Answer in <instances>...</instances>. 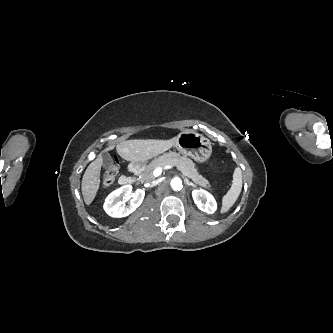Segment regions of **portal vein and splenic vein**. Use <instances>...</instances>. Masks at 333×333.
<instances>
[{
	"label": "portal vein and splenic vein",
	"instance_id": "1",
	"mask_svg": "<svg viewBox=\"0 0 333 333\" xmlns=\"http://www.w3.org/2000/svg\"><path fill=\"white\" fill-rule=\"evenodd\" d=\"M171 168H173L172 165H166V166H164V167H158V168H156V169L153 171V176H154V177H158V176L161 175L163 169H171Z\"/></svg>",
	"mask_w": 333,
	"mask_h": 333
}]
</instances>
